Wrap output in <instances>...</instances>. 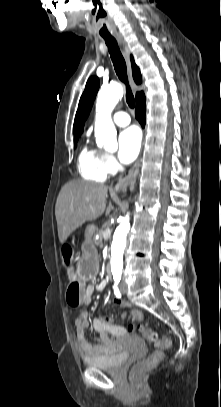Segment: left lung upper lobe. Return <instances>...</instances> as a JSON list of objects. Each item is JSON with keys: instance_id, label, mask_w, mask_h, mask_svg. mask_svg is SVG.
I'll return each mask as SVG.
<instances>
[{"instance_id": "obj_1", "label": "left lung upper lobe", "mask_w": 221, "mask_h": 407, "mask_svg": "<svg viewBox=\"0 0 221 407\" xmlns=\"http://www.w3.org/2000/svg\"><path fill=\"white\" fill-rule=\"evenodd\" d=\"M98 89L99 79L97 77H90L87 81L78 106V110L80 112V131H82L84 122L90 113Z\"/></svg>"}]
</instances>
